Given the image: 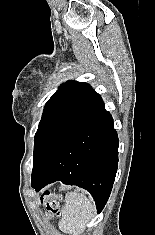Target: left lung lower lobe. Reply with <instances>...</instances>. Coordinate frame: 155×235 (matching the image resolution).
Here are the masks:
<instances>
[{"label": "left lung lower lobe", "instance_id": "obj_1", "mask_svg": "<svg viewBox=\"0 0 155 235\" xmlns=\"http://www.w3.org/2000/svg\"><path fill=\"white\" fill-rule=\"evenodd\" d=\"M118 145L112 116L101 100L32 175V187L39 191L58 180L67 185H77L91 193L100 212L115 180Z\"/></svg>", "mask_w": 155, "mask_h": 235}]
</instances>
